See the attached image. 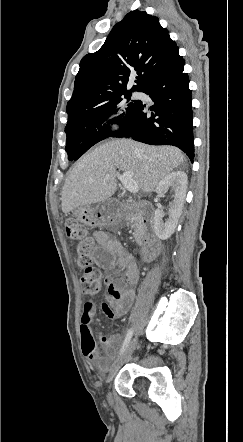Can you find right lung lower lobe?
<instances>
[{"instance_id": "98d812e1", "label": "right lung lower lobe", "mask_w": 243, "mask_h": 442, "mask_svg": "<svg viewBox=\"0 0 243 442\" xmlns=\"http://www.w3.org/2000/svg\"><path fill=\"white\" fill-rule=\"evenodd\" d=\"M184 60L178 50L157 68L139 90L154 102L147 116L146 104L137 101L133 115L109 137H132L152 145H173L194 158L192 96Z\"/></svg>"}]
</instances>
